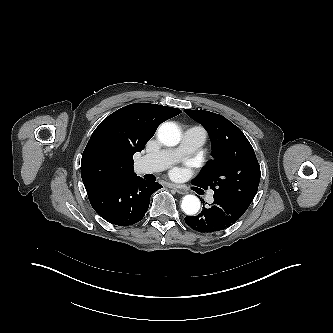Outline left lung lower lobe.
<instances>
[{
  "label": "left lung lower lobe",
  "mask_w": 333,
  "mask_h": 333,
  "mask_svg": "<svg viewBox=\"0 0 333 333\" xmlns=\"http://www.w3.org/2000/svg\"><path fill=\"white\" fill-rule=\"evenodd\" d=\"M214 202L210 208L203 206L197 216L185 217V222L193 230L202 233L221 231L235 223L247 210L242 205L214 194Z\"/></svg>",
  "instance_id": "1"
}]
</instances>
